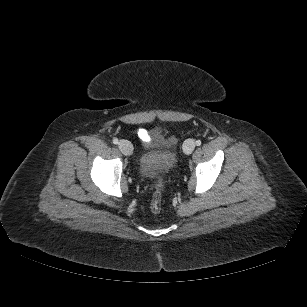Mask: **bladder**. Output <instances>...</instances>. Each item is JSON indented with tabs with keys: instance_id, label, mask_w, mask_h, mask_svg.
<instances>
[{
	"instance_id": "31cf9c89",
	"label": "bladder",
	"mask_w": 307,
	"mask_h": 307,
	"mask_svg": "<svg viewBox=\"0 0 307 307\" xmlns=\"http://www.w3.org/2000/svg\"><path fill=\"white\" fill-rule=\"evenodd\" d=\"M176 161V153L171 149L150 150L140 155L137 171L140 177L151 179L172 172Z\"/></svg>"
}]
</instances>
